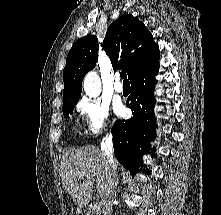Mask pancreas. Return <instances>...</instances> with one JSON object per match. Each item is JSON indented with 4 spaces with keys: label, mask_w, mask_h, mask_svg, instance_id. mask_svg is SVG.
Here are the masks:
<instances>
[{
    "label": "pancreas",
    "mask_w": 221,
    "mask_h": 215,
    "mask_svg": "<svg viewBox=\"0 0 221 215\" xmlns=\"http://www.w3.org/2000/svg\"><path fill=\"white\" fill-rule=\"evenodd\" d=\"M90 213L91 215H100V210H94L93 208H91L88 210L87 215H90Z\"/></svg>",
    "instance_id": "obj_1"
}]
</instances>
